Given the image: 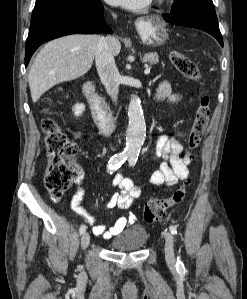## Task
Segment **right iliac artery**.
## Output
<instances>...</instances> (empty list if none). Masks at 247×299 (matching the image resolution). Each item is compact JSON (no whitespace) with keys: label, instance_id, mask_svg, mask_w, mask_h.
Here are the masks:
<instances>
[{"label":"right iliac artery","instance_id":"right-iliac-artery-1","mask_svg":"<svg viewBox=\"0 0 247 299\" xmlns=\"http://www.w3.org/2000/svg\"><path fill=\"white\" fill-rule=\"evenodd\" d=\"M129 157L128 154L126 153H119L118 155H114L113 157H111V159L109 160V169H110V173H112V171H116L121 164H123L125 162V160ZM86 230V226L83 224L80 226L79 232L80 234H83Z\"/></svg>","mask_w":247,"mask_h":299}]
</instances>
